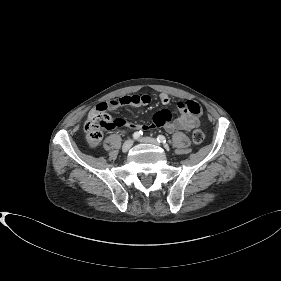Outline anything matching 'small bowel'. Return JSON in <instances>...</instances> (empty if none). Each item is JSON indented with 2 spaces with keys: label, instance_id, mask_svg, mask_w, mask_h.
I'll return each mask as SVG.
<instances>
[{
  "label": "small bowel",
  "instance_id": "small-bowel-1",
  "mask_svg": "<svg viewBox=\"0 0 281 281\" xmlns=\"http://www.w3.org/2000/svg\"><path fill=\"white\" fill-rule=\"evenodd\" d=\"M151 100L152 98L149 94L125 95L108 102H102L97 105V108L115 110L123 106L141 107L150 104ZM159 101L163 105H167L170 102V98L166 93H161ZM177 107L179 113L175 117H173L169 110L162 109L153 115L151 123L135 124L123 118H116V127H125L135 132L141 131L142 133L163 127L167 132H174L176 130L190 131L199 124L201 108L198 103L194 101L178 102Z\"/></svg>",
  "mask_w": 281,
  "mask_h": 281
}]
</instances>
